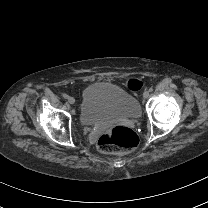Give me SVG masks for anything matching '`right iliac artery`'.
Wrapping results in <instances>:
<instances>
[{"label":"right iliac artery","mask_w":208,"mask_h":208,"mask_svg":"<svg viewBox=\"0 0 208 208\" xmlns=\"http://www.w3.org/2000/svg\"><path fill=\"white\" fill-rule=\"evenodd\" d=\"M63 97H64L65 99H69V95H67V94H64Z\"/></svg>","instance_id":"1"}]
</instances>
